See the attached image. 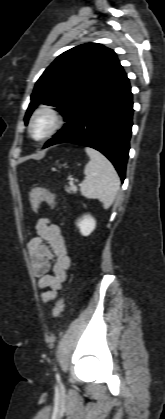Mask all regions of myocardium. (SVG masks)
<instances>
[{
    "label": "myocardium",
    "mask_w": 165,
    "mask_h": 419,
    "mask_svg": "<svg viewBox=\"0 0 165 419\" xmlns=\"http://www.w3.org/2000/svg\"><path fill=\"white\" fill-rule=\"evenodd\" d=\"M40 116H47L50 119L48 130L41 136H35L33 133V124ZM63 118L57 108L52 105L43 104L38 106L31 114L28 121V132L35 141H44L53 136L62 126Z\"/></svg>",
    "instance_id": "obj_1"
}]
</instances>
